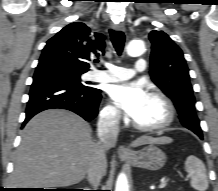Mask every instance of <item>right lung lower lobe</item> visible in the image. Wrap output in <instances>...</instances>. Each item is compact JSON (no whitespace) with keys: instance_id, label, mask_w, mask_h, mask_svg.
<instances>
[{"instance_id":"obj_1","label":"right lung lower lobe","mask_w":218,"mask_h":191,"mask_svg":"<svg viewBox=\"0 0 218 191\" xmlns=\"http://www.w3.org/2000/svg\"><path fill=\"white\" fill-rule=\"evenodd\" d=\"M100 90L74 86L65 76L54 71L34 74L23 126L37 113L47 109H67L90 121L98 113Z\"/></svg>"}]
</instances>
